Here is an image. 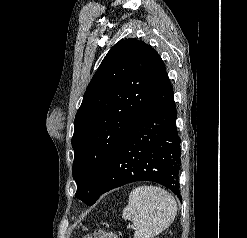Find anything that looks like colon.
<instances>
[{
	"mask_svg": "<svg viewBox=\"0 0 247 238\" xmlns=\"http://www.w3.org/2000/svg\"><path fill=\"white\" fill-rule=\"evenodd\" d=\"M83 238H119L117 234L105 230H95L92 233L85 235Z\"/></svg>",
	"mask_w": 247,
	"mask_h": 238,
	"instance_id": "1",
	"label": "colon"
}]
</instances>
